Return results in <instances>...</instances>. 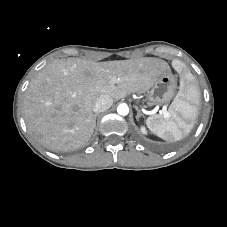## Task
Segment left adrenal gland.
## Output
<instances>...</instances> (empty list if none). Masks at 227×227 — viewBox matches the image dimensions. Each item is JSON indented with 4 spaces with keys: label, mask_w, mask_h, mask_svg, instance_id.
I'll use <instances>...</instances> for the list:
<instances>
[{
    "label": "left adrenal gland",
    "mask_w": 227,
    "mask_h": 227,
    "mask_svg": "<svg viewBox=\"0 0 227 227\" xmlns=\"http://www.w3.org/2000/svg\"><path fill=\"white\" fill-rule=\"evenodd\" d=\"M135 109L137 110V115H136V120L138 121L139 120V118L142 116L143 118L145 117L142 113H141V111H140V109L136 106L135 107Z\"/></svg>",
    "instance_id": "left-adrenal-gland-1"
}]
</instances>
